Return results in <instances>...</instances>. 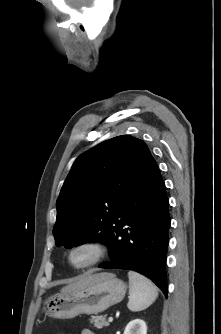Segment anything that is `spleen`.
I'll return each mask as SVG.
<instances>
[{
    "mask_svg": "<svg viewBox=\"0 0 221 334\" xmlns=\"http://www.w3.org/2000/svg\"><path fill=\"white\" fill-rule=\"evenodd\" d=\"M129 301L128 308L133 312L148 308L158 297L156 286L143 275L129 271Z\"/></svg>",
    "mask_w": 221,
    "mask_h": 334,
    "instance_id": "1",
    "label": "spleen"
}]
</instances>
